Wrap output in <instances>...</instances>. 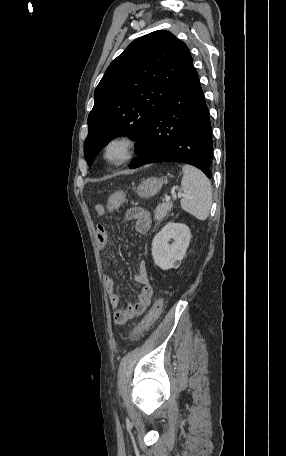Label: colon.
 I'll return each mask as SVG.
<instances>
[{"mask_svg": "<svg viewBox=\"0 0 286 456\" xmlns=\"http://www.w3.org/2000/svg\"><path fill=\"white\" fill-rule=\"evenodd\" d=\"M125 200V193L124 192H117L111 195L108 204L117 207L120 206ZM164 307V298L159 297L155 303L153 304L152 308L150 309L149 313L130 330L131 336H138L145 331H147L159 318L162 310Z\"/></svg>", "mask_w": 286, "mask_h": 456, "instance_id": "obj_1", "label": "colon"}]
</instances>
